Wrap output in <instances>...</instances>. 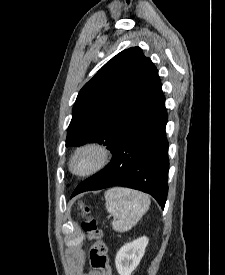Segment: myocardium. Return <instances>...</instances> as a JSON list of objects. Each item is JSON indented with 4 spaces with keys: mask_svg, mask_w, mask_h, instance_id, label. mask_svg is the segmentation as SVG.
<instances>
[{
    "mask_svg": "<svg viewBox=\"0 0 225 275\" xmlns=\"http://www.w3.org/2000/svg\"><path fill=\"white\" fill-rule=\"evenodd\" d=\"M110 160L109 151L102 145L86 143L79 146L69 159V169L77 176H87L102 170Z\"/></svg>",
    "mask_w": 225,
    "mask_h": 275,
    "instance_id": "1",
    "label": "myocardium"
}]
</instances>
